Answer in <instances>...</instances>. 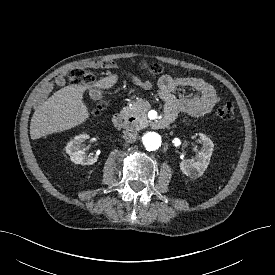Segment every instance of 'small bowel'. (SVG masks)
<instances>
[{
  "label": "small bowel",
  "instance_id": "c3829d8e",
  "mask_svg": "<svg viewBox=\"0 0 275 275\" xmlns=\"http://www.w3.org/2000/svg\"><path fill=\"white\" fill-rule=\"evenodd\" d=\"M132 82L143 88L150 89L151 83L142 81L136 76H131ZM55 83L59 86L64 84V79L58 77ZM178 87H188L195 91V95L190 98H180L175 95ZM158 93L165 102L166 116L170 120L174 119L178 113H186L190 116L201 117L209 114L219 103L220 98L211 84L201 78L180 77L173 78L164 75L158 80Z\"/></svg>",
  "mask_w": 275,
  "mask_h": 275
}]
</instances>
